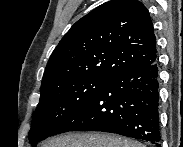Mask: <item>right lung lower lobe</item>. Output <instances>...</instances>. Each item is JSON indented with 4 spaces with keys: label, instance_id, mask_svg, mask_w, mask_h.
<instances>
[{
    "label": "right lung lower lobe",
    "instance_id": "right-lung-lower-lobe-1",
    "mask_svg": "<svg viewBox=\"0 0 183 147\" xmlns=\"http://www.w3.org/2000/svg\"><path fill=\"white\" fill-rule=\"evenodd\" d=\"M157 62L111 78L53 132L102 131L156 143L159 132Z\"/></svg>",
    "mask_w": 183,
    "mask_h": 147
}]
</instances>
